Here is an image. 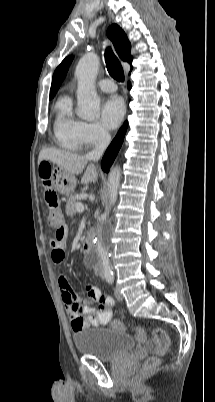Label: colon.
Listing matches in <instances>:
<instances>
[{"label":"colon","instance_id":"5ec220e1","mask_svg":"<svg viewBox=\"0 0 215 402\" xmlns=\"http://www.w3.org/2000/svg\"><path fill=\"white\" fill-rule=\"evenodd\" d=\"M51 166L52 163L50 160H41L38 167V177L39 179H42L44 202L48 212V225L58 229L61 224V213L58 195L50 182ZM112 326L114 328L122 327L120 321L118 320L113 321ZM135 335L140 342H146L148 339L147 332L142 327L135 328ZM151 340L155 346V352L157 355H162L168 350L170 340L164 329H153ZM157 364L158 357H150L146 360L143 370L145 372L150 371L154 369Z\"/></svg>","mask_w":215,"mask_h":402}]
</instances>
